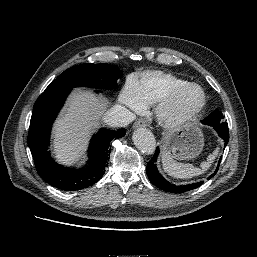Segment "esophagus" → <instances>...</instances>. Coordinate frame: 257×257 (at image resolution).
Returning a JSON list of instances; mask_svg holds the SVG:
<instances>
[{"mask_svg": "<svg viewBox=\"0 0 257 257\" xmlns=\"http://www.w3.org/2000/svg\"><path fill=\"white\" fill-rule=\"evenodd\" d=\"M146 125V122L144 119H138L135 123H134V128H139V127H144Z\"/></svg>", "mask_w": 257, "mask_h": 257, "instance_id": "1", "label": "esophagus"}]
</instances>
